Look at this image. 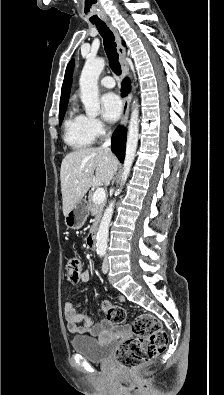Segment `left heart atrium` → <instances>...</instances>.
<instances>
[{
	"label": "left heart atrium",
	"instance_id": "left-heart-atrium-1",
	"mask_svg": "<svg viewBox=\"0 0 224 395\" xmlns=\"http://www.w3.org/2000/svg\"><path fill=\"white\" fill-rule=\"evenodd\" d=\"M103 116L107 121H116L122 112L120 97L112 92L106 93L101 99Z\"/></svg>",
	"mask_w": 224,
	"mask_h": 395
}]
</instances>
